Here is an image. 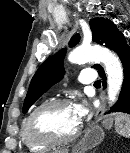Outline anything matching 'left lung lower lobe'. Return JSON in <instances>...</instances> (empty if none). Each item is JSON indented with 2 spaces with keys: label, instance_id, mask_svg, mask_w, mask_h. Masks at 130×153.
I'll use <instances>...</instances> for the list:
<instances>
[{
  "label": "left lung lower lobe",
  "instance_id": "obj_1",
  "mask_svg": "<svg viewBox=\"0 0 130 153\" xmlns=\"http://www.w3.org/2000/svg\"><path fill=\"white\" fill-rule=\"evenodd\" d=\"M106 47L114 50L122 61L124 80L123 86L116 104L110 109L109 112H124L130 114V47L126 43L125 37L121 32L112 36ZM98 73L102 78L103 87H106V76L104 69L100 67Z\"/></svg>",
  "mask_w": 130,
  "mask_h": 153
}]
</instances>
